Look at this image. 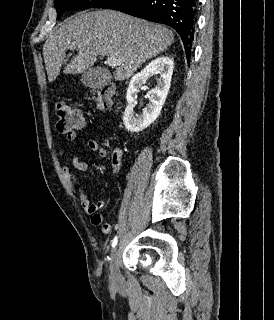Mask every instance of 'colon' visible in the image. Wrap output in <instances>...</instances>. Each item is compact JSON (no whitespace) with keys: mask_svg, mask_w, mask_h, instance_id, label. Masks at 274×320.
<instances>
[{"mask_svg":"<svg viewBox=\"0 0 274 320\" xmlns=\"http://www.w3.org/2000/svg\"><path fill=\"white\" fill-rule=\"evenodd\" d=\"M112 92L111 87L104 86L100 91L90 92L88 98L105 109L111 105ZM55 114L57 129L64 135H72L76 131L77 121L85 120L81 111L64 101L56 104Z\"/></svg>","mask_w":274,"mask_h":320,"instance_id":"obj_1","label":"colon"}]
</instances>
